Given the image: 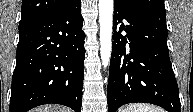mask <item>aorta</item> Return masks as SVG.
<instances>
[{
    "mask_svg": "<svg viewBox=\"0 0 193 112\" xmlns=\"http://www.w3.org/2000/svg\"><path fill=\"white\" fill-rule=\"evenodd\" d=\"M100 56L104 68L110 63L112 50L113 0H99Z\"/></svg>",
    "mask_w": 193,
    "mask_h": 112,
    "instance_id": "obj_1",
    "label": "aorta"
}]
</instances>
